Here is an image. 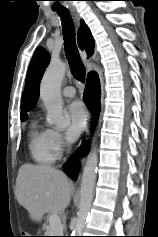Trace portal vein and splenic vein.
I'll list each match as a JSON object with an SVG mask.
<instances>
[{
  "instance_id": "18ae733b",
  "label": "portal vein and splenic vein",
  "mask_w": 158,
  "mask_h": 237,
  "mask_svg": "<svg viewBox=\"0 0 158 237\" xmlns=\"http://www.w3.org/2000/svg\"><path fill=\"white\" fill-rule=\"evenodd\" d=\"M49 222H50V225H51L52 228H59V227L62 226L61 225V220H60V218L57 214H52L50 216Z\"/></svg>"
}]
</instances>
